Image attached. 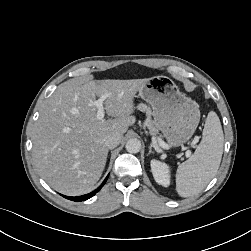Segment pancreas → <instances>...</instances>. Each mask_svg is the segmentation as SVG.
<instances>
[{"instance_id": "obj_1", "label": "pancreas", "mask_w": 251, "mask_h": 251, "mask_svg": "<svg viewBox=\"0 0 251 251\" xmlns=\"http://www.w3.org/2000/svg\"><path fill=\"white\" fill-rule=\"evenodd\" d=\"M140 109L142 111H146L147 114H148V119L146 120L145 122V125L148 127L149 131L152 133V134H156L157 133V128L154 126V123L153 121L150 119V113L151 111L146 107V106H141Z\"/></svg>"}]
</instances>
